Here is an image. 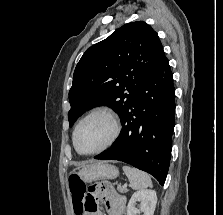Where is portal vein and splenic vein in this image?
Wrapping results in <instances>:
<instances>
[{
    "label": "portal vein and splenic vein",
    "instance_id": "portal-vein-and-splenic-vein-1",
    "mask_svg": "<svg viewBox=\"0 0 223 215\" xmlns=\"http://www.w3.org/2000/svg\"><path fill=\"white\" fill-rule=\"evenodd\" d=\"M127 186H128L127 183H125V184L123 185V187H125V188H126Z\"/></svg>",
    "mask_w": 223,
    "mask_h": 215
}]
</instances>
